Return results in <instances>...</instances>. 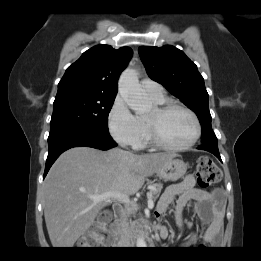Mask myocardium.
<instances>
[{
  "label": "myocardium",
  "instance_id": "myocardium-1",
  "mask_svg": "<svg viewBox=\"0 0 261 261\" xmlns=\"http://www.w3.org/2000/svg\"><path fill=\"white\" fill-rule=\"evenodd\" d=\"M173 109L183 110L188 115H190V117L192 118V120L194 122V126H195V132H194V135L191 138V140L183 145L168 144V143L164 142L161 139V137L159 136L157 127L151 121L145 119L148 139L151 144H153L155 147H157L159 149L166 150V151H175V152L184 151V150L191 148L193 145H195V143L200 138V135H201L200 120L192 109H190L189 107H187L181 103H178V102L168 101V102L159 104L155 107V110L158 115H164Z\"/></svg>",
  "mask_w": 261,
  "mask_h": 261
}]
</instances>
